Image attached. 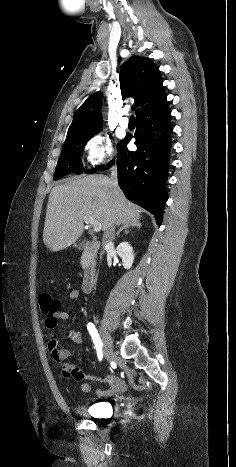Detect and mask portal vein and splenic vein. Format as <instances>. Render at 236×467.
<instances>
[{
  "instance_id": "portal-vein-and-splenic-vein-1",
  "label": "portal vein and splenic vein",
  "mask_w": 236,
  "mask_h": 467,
  "mask_svg": "<svg viewBox=\"0 0 236 467\" xmlns=\"http://www.w3.org/2000/svg\"><path fill=\"white\" fill-rule=\"evenodd\" d=\"M87 222L93 226L95 232L100 231L102 228L101 223L94 221L92 218H88Z\"/></svg>"
}]
</instances>
